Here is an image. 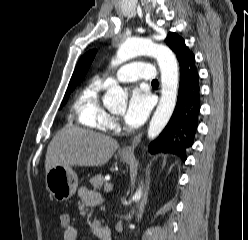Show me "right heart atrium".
I'll return each instance as SVG.
<instances>
[{"instance_id": "obj_1", "label": "right heart atrium", "mask_w": 248, "mask_h": 240, "mask_svg": "<svg viewBox=\"0 0 248 240\" xmlns=\"http://www.w3.org/2000/svg\"><path fill=\"white\" fill-rule=\"evenodd\" d=\"M116 125H117V120L114 117L107 115L105 127L109 129H113L116 127Z\"/></svg>"}]
</instances>
